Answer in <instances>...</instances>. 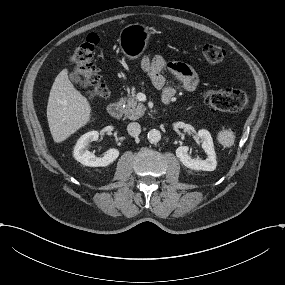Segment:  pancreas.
Returning a JSON list of instances; mask_svg holds the SVG:
<instances>
[{
	"instance_id": "1",
	"label": "pancreas",
	"mask_w": 285,
	"mask_h": 285,
	"mask_svg": "<svg viewBox=\"0 0 285 285\" xmlns=\"http://www.w3.org/2000/svg\"><path fill=\"white\" fill-rule=\"evenodd\" d=\"M136 91L132 89L131 96L126 101L124 113L129 119L137 120L139 117L144 116L145 106L139 103L136 99Z\"/></svg>"
}]
</instances>
